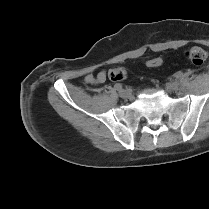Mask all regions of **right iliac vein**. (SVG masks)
<instances>
[{
  "label": "right iliac vein",
  "mask_w": 209,
  "mask_h": 209,
  "mask_svg": "<svg viewBox=\"0 0 209 209\" xmlns=\"http://www.w3.org/2000/svg\"><path fill=\"white\" fill-rule=\"evenodd\" d=\"M119 96L122 98H130L131 94L126 90H120Z\"/></svg>",
  "instance_id": "1"
}]
</instances>
